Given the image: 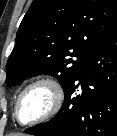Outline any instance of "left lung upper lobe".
Listing matches in <instances>:
<instances>
[{
	"instance_id": "left-lung-upper-lobe-1",
	"label": "left lung upper lobe",
	"mask_w": 117,
	"mask_h": 136,
	"mask_svg": "<svg viewBox=\"0 0 117 136\" xmlns=\"http://www.w3.org/2000/svg\"><path fill=\"white\" fill-rule=\"evenodd\" d=\"M115 23L117 0H33L8 58L5 83L14 86L28 77L48 74L66 89Z\"/></svg>"
}]
</instances>
